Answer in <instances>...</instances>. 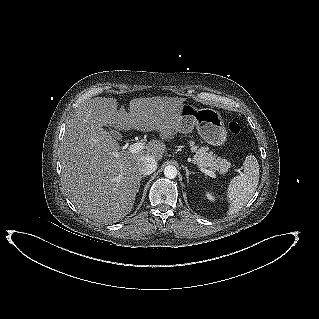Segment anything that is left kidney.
<instances>
[{"mask_svg": "<svg viewBox=\"0 0 319 319\" xmlns=\"http://www.w3.org/2000/svg\"><path fill=\"white\" fill-rule=\"evenodd\" d=\"M206 197L210 200V201H214L215 200V197L210 194L209 192L206 193Z\"/></svg>", "mask_w": 319, "mask_h": 319, "instance_id": "left-kidney-1", "label": "left kidney"}]
</instances>
